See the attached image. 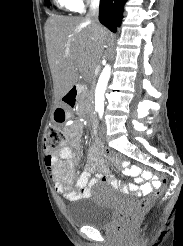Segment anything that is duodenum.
<instances>
[{
  "instance_id": "duodenum-1",
  "label": "duodenum",
  "mask_w": 183,
  "mask_h": 246,
  "mask_svg": "<svg viewBox=\"0 0 183 246\" xmlns=\"http://www.w3.org/2000/svg\"><path fill=\"white\" fill-rule=\"evenodd\" d=\"M83 90L82 85H74L70 90L63 96V101L65 104L71 108L76 107L80 93ZM93 143L90 144L91 151H100L101 148H104V143H100V139H93Z\"/></svg>"
}]
</instances>
